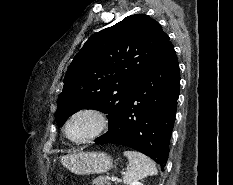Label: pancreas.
I'll use <instances>...</instances> for the list:
<instances>
[{
  "label": "pancreas",
  "mask_w": 233,
  "mask_h": 185,
  "mask_svg": "<svg viewBox=\"0 0 233 185\" xmlns=\"http://www.w3.org/2000/svg\"><path fill=\"white\" fill-rule=\"evenodd\" d=\"M92 185H111V183L106 176H99L93 180Z\"/></svg>",
  "instance_id": "pancreas-1"
}]
</instances>
